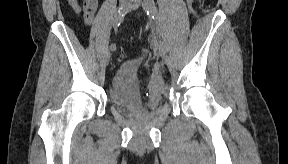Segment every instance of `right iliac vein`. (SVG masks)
I'll list each match as a JSON object with an SVG mask.
<instances>
[{
    "label": "right iliac vein",
    "instance_id": "63e3f726",
    "mask_svg": "<svg viewBox=\"0 0 288 164\" xmlns=\"http://www.w3.org/2000/svg\"><path fill=\"white\" fill-rule=\"evenodd\" d=\"M110 57H111V53L108 52V53L106 54V62H107V63L109 62Z\"/></svg>",
    "mask_w": 288,
    "mask_h": 164
}]
</instances>
